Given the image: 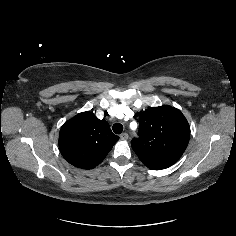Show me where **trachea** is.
<instances>
[{
  "label": "trachea",
  "instance_id": "1",
  "mask_svg": "<svg viewBox=\"0 0 236 236\" xmlns=\"http://www.w3.org/2000/svg\"><path fill=\"white\" fill-rule=\"evenodd\" d=\"M115 134H121L123 131V125L120 123H115L112 127Z\"/></svg>",
  "mask_w": 236,
  "mask_h": 236
}]
</instances>
